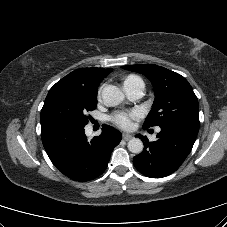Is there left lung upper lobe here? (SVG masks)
Listing matches in <instances>:
<instances>
[{"instance_id":"obj_1","label":"left lung upper lobe","mask_w":227,"mask_h":227,"mask_svg":"<svg viewBox=\"0 0 227 227\" xmlns=\"http://www.w3.org/2000/svg\"><path fill=\"white\" fill-rule=\"evenodd\" d=\"M122 68L144 74L154 86L155 100L143 128L169 123L199 125L198 100L183 76L152 64L130 65Z\"/></svg>"}]
</instances>
